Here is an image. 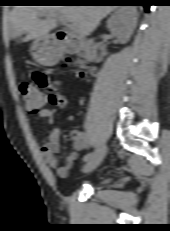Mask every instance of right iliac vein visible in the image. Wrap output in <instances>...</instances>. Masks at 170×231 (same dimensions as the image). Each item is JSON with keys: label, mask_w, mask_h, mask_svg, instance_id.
<instances>
[{"label": "right iliac vein", "mask_w": 170, "mask_h": 231, "mask_svg": "<svg viewBox=\"0 0 170 231\" xmlns=\"http://www.w3.org/2000/svg\"><path fill=\"white\" fill-rule=\"evenodd\" d=\"M107 152V147L105 144H102L94 153V155L87 161L83 167L84 173H89L103 161Z\"/></svg>", "instance_id": "63e3f726"}]
</instances>
